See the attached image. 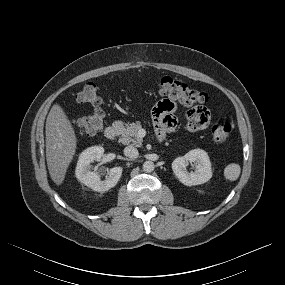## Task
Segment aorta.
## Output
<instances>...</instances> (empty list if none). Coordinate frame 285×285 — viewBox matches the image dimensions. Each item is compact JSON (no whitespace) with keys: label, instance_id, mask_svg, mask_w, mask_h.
<instances>
[{"label":"aorta","instance_id":"762f6f07","mask_svg":"<svg viewBox=\"0 0 285 285\" xmlns=\"http://www.w3.org/2000/svg\"><path fill=\"white\" fill-rule=\"evenodd\" d=\"M155 165L152 161H145L143 163V170L147 173H150L154 170Z\"/></svg>","mask_w":285,"mask_h":285}]
</instances>
